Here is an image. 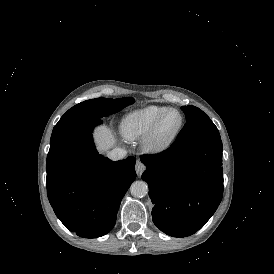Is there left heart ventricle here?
<instances>
[{
    "mask_svg": "<svg viewBox=\"0 0 274 274\" xmlns=\"http://www.w3.org/2000/svg\"><path fill=\"white\" fill-rule=\"evenodd\" d=\"M181 124V116L179 113H171L163 123L161 136L165 137L175 132Z\"/></svg>",
    "mask_w": 274,
    "mask_h": 274,
    "instance_id": "left-heart-ventricle-1",
    "label": "left heart ventricle"
}]
</instances>
